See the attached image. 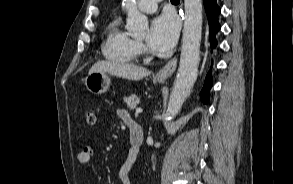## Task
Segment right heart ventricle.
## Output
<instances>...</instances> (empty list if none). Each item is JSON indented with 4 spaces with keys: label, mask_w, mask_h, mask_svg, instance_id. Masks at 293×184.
<instances>
[{
    "label": "right heart ventricle",
    "mask_w": 293,
    "mask_h": 184,
    "mask_svg": "<svg viewBox=\"0 0 293 184\" xmlns=\"http://www.w3.org/2000/svg\"><path fill=\"white\" fill-rule=\"evenodd\" d=\"M102 51L107 59L115 62L131 63L137 59V42L123 30L120 17L108 24Z\"/></svg>",
    "instance_id": "obj_1"
}]
</instances>
